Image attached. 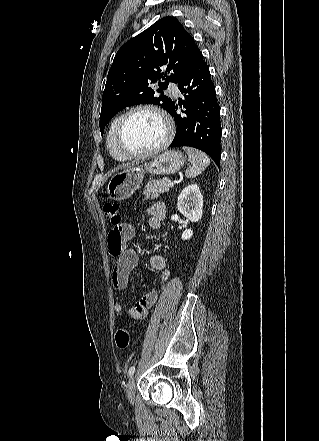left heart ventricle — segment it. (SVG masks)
Returning a JSON list of instances; mask_svg holds the SVG:
<instances>
[{
    "label": "left heart ventricle",
    "mask_w": 319,
    "mask_h": 441,
    "mask_svg": "<svg viewBox=\"0 0 319 441\" xmlns=\"http://www.w3.org/2000/svg\"><path fill=\"white\" fill-rule=\"evenodd\" d=\"M165 136L162 120L154 113L140 111L126 121L122 134V144L132 152H143L156 147Z\"/></svg>",
    "instance_id": "b2bd125f"
}]
</instances>
